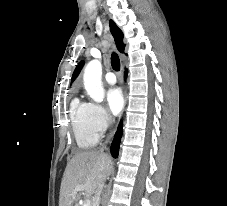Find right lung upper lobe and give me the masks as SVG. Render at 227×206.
Here are the masks:
<instances>
[{
	"mask_svg": "<svg viewBox=\"0 0 227 206\" xmlns=\"http://www.w3.org/2000/svg\"><path fill=\"white\" fill-rule=\"evenodd\" d=\"M110 31L114 37V40H115V43H116V46H117V49L118 51L120 52H123L124 51V43H123V33L122 31L117 27V25L114 23V21L110 20ZM84 62L81 61L79 62V64L77 65L74 73H73V76H72V81L77 77L80 69L82 68Z\"/></svg>",
	"mask_w": 227,
	"mask_h": 206,
	"instance_id": "cb5924a9",
	"label": "right lung upper lobe"
}]
</instances>
